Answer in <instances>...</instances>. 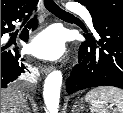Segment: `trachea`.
I'll use <instances>...</instances> for the list:
<instances>
[{"instance_id": "obj_1", "label": "trachea", "mask_w": 123, "mask_h": 113, "mask_svg": "<svg viewBox=\"0 0 123 113\" xmlns=\"http://www.w3.org/2000/svg\"><path fill=\"white\" fill-rule=\"evenodd\" d=\"M44 5L48 11H50L52 14L58 17L74 18L72 14L61 9L53 0H44ZM29 16L30 14L27 17Z\"/></svg>"}]
</instances>
